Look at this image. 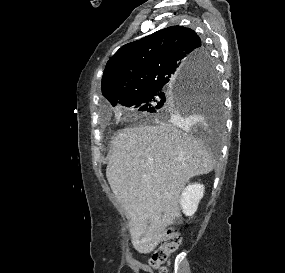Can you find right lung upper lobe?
Returning a JSON list of instances; mask_svg holds the SVG:
<instances>
[{
	"label": "right lung upper lobe",
	"mask_w": 285,
	"mask_h": 273,
	"mask_svg": "<svg viewBox=\"0 0 285 273\" xmlns=\"http://www.w3.org/2000/svg\"><path fill=\"white\" fill-rule=\"evenodd\" d=\"M206 49L190 28L171 26L122 46L108 61L101 82L113 104L159 85L178 83L203 70Z\"/></svg>",
	"instance_id": "obj_1"
}]
</instances>
